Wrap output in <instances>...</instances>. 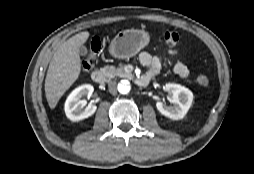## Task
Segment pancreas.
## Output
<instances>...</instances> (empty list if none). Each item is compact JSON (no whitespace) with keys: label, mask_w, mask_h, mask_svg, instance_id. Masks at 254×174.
Returning a JSON list of instances; mask_svg holds the SVG:
<instances>
[{"label":"pancreas","mask_w":254,"mask_h":174,"mask_svg":"<svg viewBox=\"0 0 254 174\" xmlns=\"http://www.w3.org/2000/svg\"><path fill=\"white\" fill-rule=\"evenodd\" d=\"M101 71L105 74L108 79L114 78L116 76L119 77H128L130 74L126 73L124 68L118 67L115 68L114 66H105L101 69Z\"/></svg>","instance_id":"cf45deb5"}]
</instances>
